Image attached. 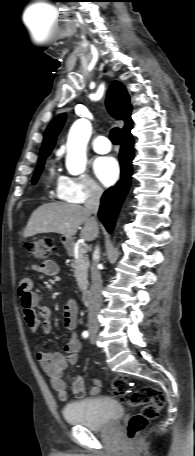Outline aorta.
Returning a JSON list of instances; mask_svg holds the SVG:
<instances>
[{"instance_id":"obj_1","label":"aorta","mask_w":195,"mask_h":456,"mask_svg":"<svg viewBox=\"0 0 195 456\" xmlns=\"http://www.w3.org/2000/svg\"><path fill=\"white\" fill-rule=\"evenodd\" d=\"M91 123L77 120L71 127L67 140L66 168L72 175H79L86 168V147L91 136Z\"/></svg>"}]
</instances>
